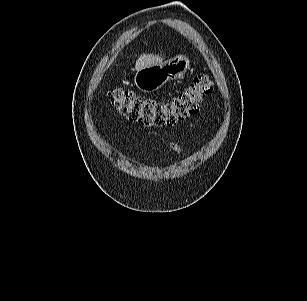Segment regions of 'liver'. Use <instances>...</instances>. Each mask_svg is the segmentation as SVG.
Returning <instances> with one entry per match:
<instances>
[{"label": "liver", "instance_id": "6515ba94", "mask_svg": "<svg viewBox=\"0 0 307 301\" xmlns=\"http://www.w3.org/2000/svg\"><path fill=\"white\" fill-rule=\"evenodd\" d=\"M163 58L157 55L152 54H143L141 55L135 64V70H140L142 68L151 66V65H157L162 63Z\"/></svg>", "mask_w": 307, "mask_h": 301}]
</instances>
